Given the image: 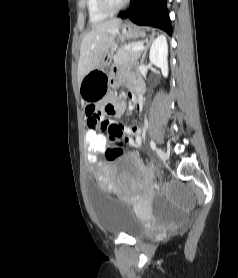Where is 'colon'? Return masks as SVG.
<instances>
[{"label": "colon", "mask_w": 238, "mask_h": 278, "mask_svg": "<svg viewBox=\"0 0 238 278\" xmlns=\"http://www.w3.org/2000/svg\"><path fill=\"white\" fill-rule=\"evenodd\" d=\"M85 137V149L87 153L85 162H98L100 156L105 155L107 160L112 161L123 153V144L121 142L107 144L106 138L99 137L96 130H85Z\"/></svg>", "instance_id": "colon-1"}]
</instances>
